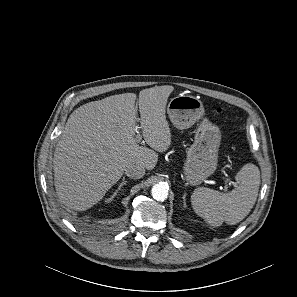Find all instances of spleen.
Masks as SVG:
<instances>
[{
    "label": "spleen",
    "instance_id": "1",
    "mask_svg": "<svg viewBox=\"0 0 297 297\" xmlns=\"http://www.w3.org/2000/svg\"><path fill=\"white\" fill-rule=\"evenodd\" d=\"M239 185L229 193L200 187L191 196L197 215L213 227L223 222L234 225L242 221L253 208L259 191L260 171L252 164H245L236 175Z\"/></svg>",
    "mask_w": 297,
    "mask_h": 297
}]
</instances>
